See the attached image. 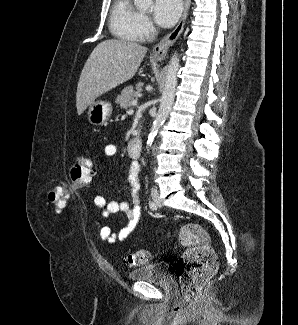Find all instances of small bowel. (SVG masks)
Masks as SVG:
<instances>
[{
	"label": "small bowel",
	"mask_w": 298,
	"mask_h": 325,
	"mask_svg": "<svg viewBox=\"0 0 298 325\" xmlns=\"http://www.w3.org/2000/svg\"><path fill=\"white\" fill-rule=\"evenodd\" d=\"M117 153V147L113 144H108L104 148L103 162L115 156ZM140 165L138 162H132L129 169V174L126 180V184L131 193L132 203L131 205L126 201H110L107 202L102 195H96L94 198V204L101 209L102 218H109L110 215L116 212H122L125 214L128 222L124 228L118 232H113L109 226H103L100 229V238L109 244H114L117 241L125 240L137 227L141 212L142 202L139 197L140 182H139Z\"/></svg>",
	"instance_id": "obj_1"
}]
</instances>
